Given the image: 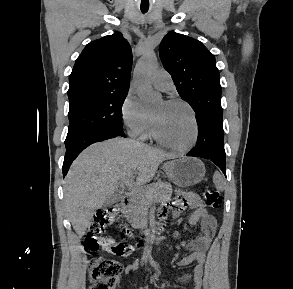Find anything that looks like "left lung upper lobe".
Listing matches in <instances>:
<instances>
[{
  "instance_id": "left-lung-upper-lobe-1",
  "label": "left lung upper lobe",
  "mask_w": 293,
  "mask_h": 289,
  "mask_svg": "<svg viewBox=\"0 0 293 289\" xmlns=\"http://www.w3.org/2000/svg\"><path fill=\"white\" fill-rule=\"evenodd\" d=\"M161 61L179 95L196 113V120H222L221 85L215 57L198 40L169 32L159 47Z\"/></svg>"
}]
</instances>
